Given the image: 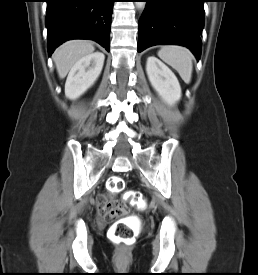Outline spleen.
<instances>
[{"label": "spleen", "mask_w": 258, "mask_h": 275, "mask_svg": "<svg viewBox=\"0 0 258 275\" xmlns=\"http://www.w3.org/2000/svg\"><path fill=\"white\" fill-rule=\"evenodd\" d=\"M158 56L173 67L185 83L191 82L193 55L189 49L176 45L163 46L158 51Z\"/></svg>", "instance_id": "obj_1"}]
</instances>
